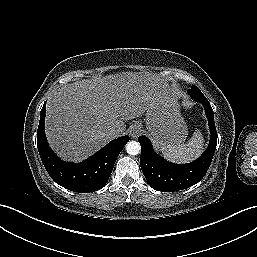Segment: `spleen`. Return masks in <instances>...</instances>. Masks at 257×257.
<instances>
[{
	"label": "spleen",
	"mask_w": 257,
	"mask_h": 257,
	"mask_svg": "<svg viewBox=\"0 0 257 257\" xmlns=\"http://www.w3.org/2000/svg\"><path fill=\"white\" fill-rule=\"evenodd\" d=\"M204 149V139L199 130H196L186 144L173 143L162 148L166 159L175 163H188L199 157Z\"/></svg>",
	"instance_id": "1"
}]
</instances>
